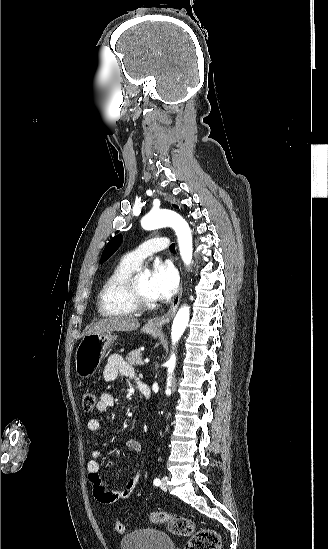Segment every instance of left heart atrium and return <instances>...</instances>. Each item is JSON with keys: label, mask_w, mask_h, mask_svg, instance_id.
<instances>
[{"label": "left heart atrium", "mask_w": 328, "mask_h": 549, "mask_svg": "<svg viewBox=\"0 0 328 549\" xmlns=\"http://www.w3.org/2000/svg\"><path fill=\"white\" fill-rule=\"evenodd\" d=\"M179 276L175 267L169 262L157 264L150 273L149 292L153 300H166L177 291Z\"/></svg>", "instance_id": "39dd6f15"}]
</instances>
